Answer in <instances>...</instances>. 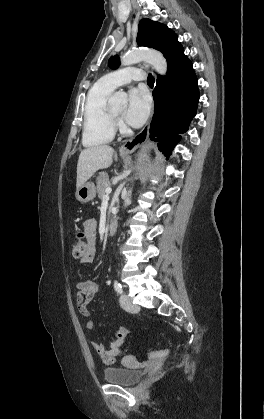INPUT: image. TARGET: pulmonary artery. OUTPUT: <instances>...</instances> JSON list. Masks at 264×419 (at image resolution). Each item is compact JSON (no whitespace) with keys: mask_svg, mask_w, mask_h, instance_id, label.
<instances>
[{"mask_svg":"<svg viewBox=\"0 0 264 419\" xmlns=\"http://www.w3.org/2000/svg\"><path fill=\"white\" fill-rule=\"evenodd\" d=\"M144 78L145 73L141 69L126 67L103 76L100 81L107 87L115 89L118 86L128 84L135 80H143Z\"/></svg>","mask_w":264,"mask_h":419,"instance_id":"1","label":"pulmonary artery"}]
</instances>
